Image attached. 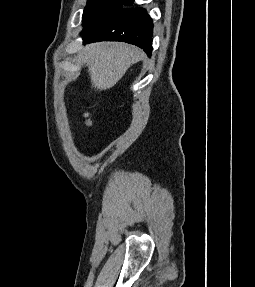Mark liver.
Here are the masks:
<instances>
[{
	"mask_svg": "<svg viewBox=\"0 0 255 287\" xmlns=\"http://www.w3.org/2000/svg\"><path fill=\"white\" fill-rule=\"evenodd\" d=\"M80 56L81 62L89 66L92 88L102 92L115 86L132 64L142 60L144 52L135 46L111 42V44H89L83 48Z\"/></svg>",
	"mask_w": 255,
	"mask_h": 287,
	"instance_id": "obj_1",
	"label": "liver"
}]
</instances>
